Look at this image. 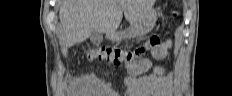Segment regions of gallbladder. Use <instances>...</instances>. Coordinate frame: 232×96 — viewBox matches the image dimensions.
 <instances>
[{
  "mask_svg": "<svg viewBox=\"0 0 232 96\" xmlns=\"http://www.w3.org/2000/svg\"><path fill=\"white\" fill-rule=\"evenodd\" d=\"M102 39H103V37H102V34H101V33L97 32V31H95V30H92L91 35H90V40H91L93 43L99 44V43L102 42Z\"/></svg>",
  "mask_w": 232,
  "mask_h": 96,
  "instance_id": "gallbladder-1",
  "label": "gallbladder"
}]
</instances>
